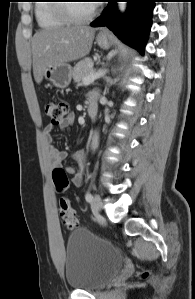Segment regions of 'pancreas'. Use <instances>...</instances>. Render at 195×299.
<instances>
[{
    "label": "pancreas",
    "instance_id": "cf45deb5",
    "mask_svg": "<svg viewBox=\"0 0 195 299\" xmlns=\"http://www.w3.org/2000/svg\"><path fill=\"white\" fill-rule=\"evenodd\" d=\"M92 72H95V70L93 69V61L91 58H85L75 65L72 72V76L76 83H80L85 77L89 76Z\"/></svg>",
    "mask_w": 195,
    "mask_h": 299
}]
</instances>
